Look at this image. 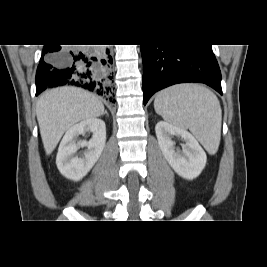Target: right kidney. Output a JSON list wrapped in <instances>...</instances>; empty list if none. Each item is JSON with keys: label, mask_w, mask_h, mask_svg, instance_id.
<instances>
[{"label": "right kidney", "mask_w": 267, "mask_h": 267, "mask_svg": "<svg viewBox=\"0 0 267 267\" xmlns=\"http://www.w3.org/2000/svg\"><path fill=\"white\" fill-rule=\"evenodd\" d=\"M86 132H92V138L89 141L76 142L77 137ZM105 141L106 126L101 119H86L71 127L64 135L58 148L56 164L60 173L74 181L82 179L99 159ZM80 147H87V149L82 156H75Z\"/></svg>", "instance_id": "right-kidney-1"}]
</instances>
